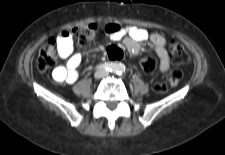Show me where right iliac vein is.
Here are the masks:
<instances>
[{
    "label": "right iliac vein",
    "instance_id": "obj_1",
    "mask_svg": "<svg viewBox=\"0 0 225 155\" xmlns=\"http://www.w3.org/2000/svg\"><path fill=\"white\" fill-rule=\"evenodd\" d=\"M103 75H104V72L100 70L94 74V77H95V79H100L103 77Z\"/></svg>",
    "mask_w": 225,
    "mask_h": 155
}]
</instances>
